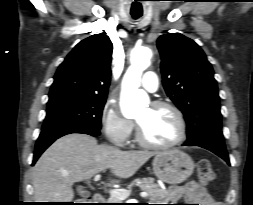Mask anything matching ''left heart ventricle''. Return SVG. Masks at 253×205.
Returning <instances> with one entry per match:
<instances>
[{"mask_svg":"<svg viewBox=\"0 0 253 205\" xmlns=\"http://www.w3.org/2000/svg\"><path fill=\"white\" fill-rule=\"evenodd\" d=\"M135 120L143 136L152 143L166 144L178 136V122L169 109L148 105L136 115Z\"/></svg>","mask_w":253,"mask_h":205,"instance_id":"1","label":"left heart ventricle"}]
</instances>
